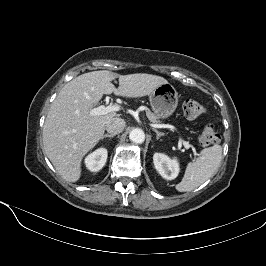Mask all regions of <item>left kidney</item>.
Instances as JSON below:
<instances>
[{
  "instance_id": "obj_1",
  "label": "left kidney",
  "mask_w": 266,
  "mask_h": 266,
  "mask_svg": "<svg viewBox=\"0 0 266 266\" xmlns=\"http://www.w3.org/2000/svg\"><path fill=\"white\" fill-rule=\"evenodd\" d=\"M153 162L156 170L163 178L172 180L178 176L179 163L176 159H171L162 153H155Z\"/></svg>"
}]
</instances>
